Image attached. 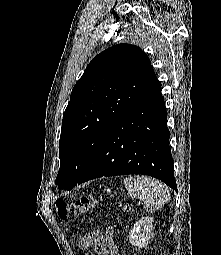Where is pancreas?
Here are the masks:
<instances>
[{
  "label": "pancreas",
  "mask_w": 221,
  "mask_h": 255,
  "mask_svg": "<svg viewBox=\"0 0 221 255\" xmlns=\"http://www.w3.org/2000/svg\"><path fill=\"white\" fill-rule=\"evenodd\" d=\"M123 210H125V211L127 210V205H126V206H124Z\"/></svg>",
  "instance_id": "obj_1"
}]
</instances>
